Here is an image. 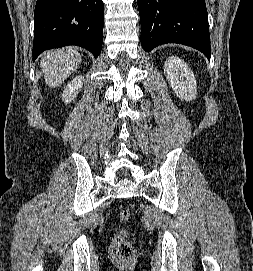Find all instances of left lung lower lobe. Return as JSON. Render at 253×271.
Returning <instances> with one entry per match:
<instances>
[{
  "label": "left lung lower lobe",
  "instance_id": "obj_1",
  "mask_svg": "<svg viewBox=\"0 0 253 271\" xmlns=\"http://www.w3.org/2000/svg\"><path fill=\"white\" fill-rule=\"evenodd\" d=\"M141 44L145 51L164 43H179L210 59L208 14L204 0H137Z\"/></svg>",
  "mask_w": 253,
  "mask_h": 271
}]
</instances>
